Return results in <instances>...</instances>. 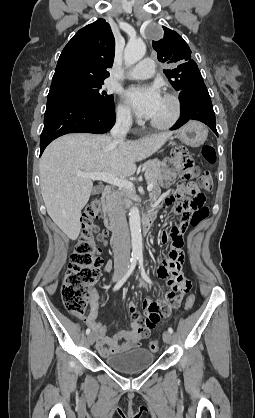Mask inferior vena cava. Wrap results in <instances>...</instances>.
Returning a JSON list of instances; mask_svg holds the SVG:
<instances>
[{
    "label": "inferior vena cava",
    "mask_w": 255,
    "mask_h": 418,
    "mask_svg": "<svg viewBox=\"0 0 255 418\" xmlns=\"http://www.w3.org/2000/svg\"><path fill=\"white\" fill-rule=\"evenodd\" d=\"M132 125V118L129 113L118 114L116 123L111 130V136L116 140H124ZM114 205V231L113 251L115 261L130 260V236L128 224L123 209V201L120 194H113Z\"/></svg>",
    "instance_id": "inferior-vena-cava-1"
}]
</instances>
